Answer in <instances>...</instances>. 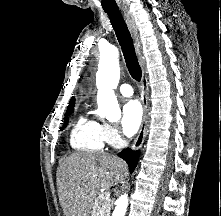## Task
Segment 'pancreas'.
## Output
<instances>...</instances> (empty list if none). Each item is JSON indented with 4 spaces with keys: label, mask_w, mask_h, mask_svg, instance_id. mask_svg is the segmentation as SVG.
I'll use <instances>...</instances> for the list:
<instances>
[{
    "label": "pancreas",
    "mask_w": 221,
    "mask_h": 216,
    "mask_svg": "<svg viewBox=\"0 0 221 216\" xmlns=\"http://www.w3.org/2000/svg\"><path fill=\"white\" fill-rule=\"evenodd\" d=\"M91 216H110V204L103 196L95 200Z\"/></svg>",
    "instance_id": "cf45deb5"
}]
</instances>
